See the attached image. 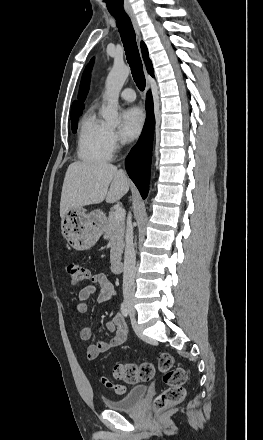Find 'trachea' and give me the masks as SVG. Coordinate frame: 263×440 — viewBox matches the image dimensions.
Wrapping results in <instances>:
<instances>
[{
    "mask_svg": "<svg viewBox=\"0 0 263 440\" xmlns=\"http://www.w3.org/2000/svg\"><path fill=\"white\" fill-rule=\"evenodd\" d=\"M116 19L117 27L124 46L126 59L131 68L133 79L140 91L145 89L146 81L143 73V66L139 55L136 36L129 16L124 12H112Z\"/></svg>",
    "mask_w": 263,
    "mask_h": 440,
    "instance_id": "trachea-1",
    "label": "trachea"
}]
</instances>
